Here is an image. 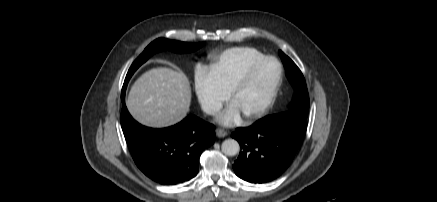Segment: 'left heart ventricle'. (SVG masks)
Returning <instances> with one entry per match:
<instances>
[{
  "mask_svg": "<svg viewBox=\"0 0 437 202\" xmlns=\"http://www.w3.org/2000/svg\"><path fill=\"white\" fill-rule=\"evenodd\" d=\"M277 70V65L273 61L261 64L247 85L235 96L233 101L238 104L244 115L256 110L264 102Z\"/></svg>",
  "mask_w": 437,
  "mask_h": 202,
  "instance_id": "1",
  "label": "left heart ventricle"
}]
</instances>
